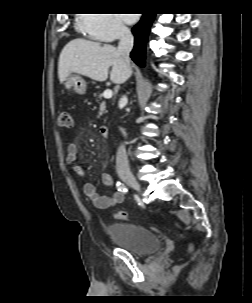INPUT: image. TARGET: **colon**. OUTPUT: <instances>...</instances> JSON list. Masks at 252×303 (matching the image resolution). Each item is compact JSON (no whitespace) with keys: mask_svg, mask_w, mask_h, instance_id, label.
Returning <instances> with one entry per match:
<instances>
[{"mask_svg":"<svg viewBox=\"0 0 252 303\" xmlns=\"http://www.w3.org/2000/svg\"><path fill=\"white\" fill-rule=\"evenodd\" d=\"M59 124L61 127L69 128L72 124L71 115L67 111H62L59 114ZM114 218L118 220H128L130 218L129 214L125 211H118L114 214Z\"/></svg>","mask_w":252,"mask_h":303,"instance_id":"5ec220e1","label":"colon"}]
</instances>
